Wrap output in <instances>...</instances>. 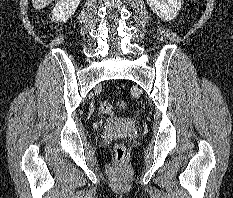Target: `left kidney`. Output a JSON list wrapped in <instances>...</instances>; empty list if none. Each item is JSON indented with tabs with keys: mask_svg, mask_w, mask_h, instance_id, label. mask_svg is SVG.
<instances>
[{
	"mask_svg": "<svg viewBox=\"0 0 233 198\" xmlns=\"http://www.w3.org/2000/svg\"><path fill=\"white\" fill-rule=\"evenodd\" d=\"M147 4L159 18L173 20L181 9L183 0H146Z\"/></svg>",
	"mask_w": 233,
	"mask_h": 198,
	"instance_id": "left-kidney-1",
	"label": "left kidney"
}]
</instances>
